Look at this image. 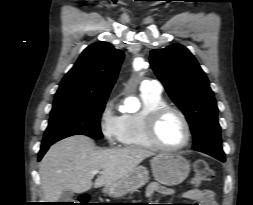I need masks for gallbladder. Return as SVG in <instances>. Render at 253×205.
Wrapping results in <instances>:
<instances>
[{
    "label": "gallbladder",
    "mask_w": 253,
    "mask_h": 205,
    "mask_svg": "<svg viewBox=\"0 0 253 205\" xmlns=\"http://www.w3.org/2000/svg\"><path fill=\"white\" fill-rule=\"evenodd\" d=\"M74 196V192L71 190H65L60 195L59 201L60 202H69Z\"/></svg>",
    "instance_id": "gallbladder-1"
}]
</instances>
